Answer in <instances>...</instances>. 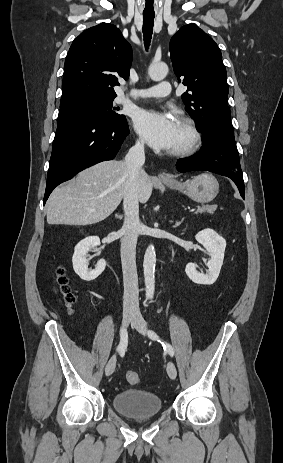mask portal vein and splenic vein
Segmentation results:
<instances>
[{
	"mask_svg": "<svg viewBox=\"0 0 283 463\" xmlns=\"http://www.w3.org/2000/svg\"><path fill=\"white\" fill-rule=\"evenodd\" d=\"M195 209H191L190 212H193Z\"/></svg>",
	"mask_w": 283,
	"mask_h": 463,
	"instance_id": "portal-vein-and-splenic-vein-1",
	"label": "portal vein and splenic vein"
}]
</instances>
